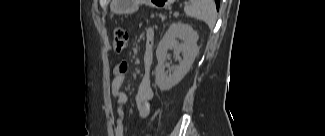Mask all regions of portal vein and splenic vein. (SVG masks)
I'll return each instance as SVG.
<instances>
[{
	"instance_id": "1",
	"label": "portal vein and splenic vein",
	"mask_w": 325,
	"mask_h": 136,
	"mask_svg": "<svg viewBox=\"0 0 325 136\" xmlns=\"http://www.w3.org/2000/svg\"><path fill=\"white\" fill-rule=\"evenodd\" d=\"M179 15V13L178 12H174V16H178Z\"/></svg>"
}]
</instances>
